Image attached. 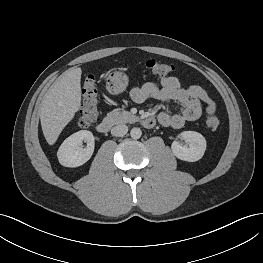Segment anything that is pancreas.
Returning a JSON list of instances; mask_svg holds the SVG:
<instances>
[{
	"instance_id": "cf45deb5",
	"label": "pancreas",
	"mask_w": 263,
	"mask_h": 263,
	"mask_svg": "<svg viewBox=\"0 0 263 263\" xmlns=\"http://www.w3.org/2000/svg\"><path fill=\"white\" fill-rule=\"evenodd\" d=\"M106 119L110 120L111 122L115 124L120 123H132L135 121H138V118L130 113L129 111H112L107 114Z\"/></svg>"
}]
</instances>
